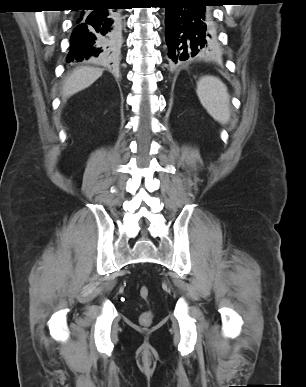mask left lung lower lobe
<instances>
[{
    "instance_id": "obj_1",
    "label": "left lung lower lobe",
    "mask_w": 306,
    "mask_h": 387,
    "mask_svg": "<svg viewBox=\"0 0 306 387\" xmlns=\"http://www.w3.org/2000/svg\"><path fill=\"white\" fill-rule=\"evenodd\" d=\"M166 44L173 66L205 56L214 44L209 6L213 0H164Z\"/></svg>"
}]
</instances>
